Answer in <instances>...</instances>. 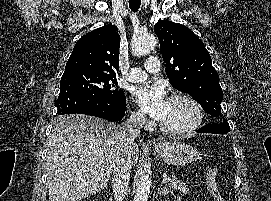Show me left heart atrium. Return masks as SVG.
Here are the masks:
<instances>
[{"label":"left heart atrium","mask_w":271,"mask_h":201,"mask_svg":"<svg viewBox=\"0 0 271 201\" xmlns=\"http://www.w3.org/2000/svg\"><path fill=\"white\" fill-rule=\"evenodd\" d=\"M133 97L141 109L155 120L161 121L165 117L169 99L160 85H138L133 89Z\"/></svg>","instance_id":"1"}]
</instances>
